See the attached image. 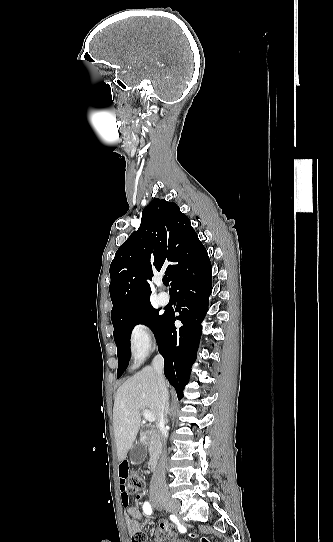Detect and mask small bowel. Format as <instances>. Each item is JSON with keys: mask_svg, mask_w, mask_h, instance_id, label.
Here are the masks:
<instances>
[{"mask_svg": "<svg viewBox=\"0 0 333 542\" xmlns=\"http://www.w3.org/2000/svg\"><path fill=\"white\" fill-rule=\"evenodd\" d=\"M128 473V464L126 461L121 462L119 465V483H120V498L122 505L127 509L125 512V521L130 532H134L140 529L141 523L139 520L143 519L145 511L141 509L143 505V498L146 494H137L135 498V506H129V496L125 487V481ZM160 530L166 531L168 537L173 539L177 536L178 532L183 530L172 526L167 521L160 523ZM161 537V532L156 533V538Z\"/></svg>", "mask_w": 333, "mask_h": 542, "instance_id": "c3829d8e", "label": "small bowel"}]
</instances>
